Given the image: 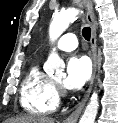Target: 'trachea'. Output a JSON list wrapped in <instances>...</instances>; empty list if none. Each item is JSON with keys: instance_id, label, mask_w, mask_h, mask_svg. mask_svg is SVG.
I'll return each mask as SVG.
<instances>
[{"instance_id": "trachea-1", "label": "trachea", "mask_w": 118, "mask_h": 123, "mask_svg": "<svg viewBox=\"0 0 118 123\" xmlns=\"http://www.w3.org/2000/svg\"><path fill=\"white\" fill-rule=\"evenodd\" d=\"M83 37L89 41L91 38V29L89 27H84L82 30Z\"/></svg>"}]
</instances>
